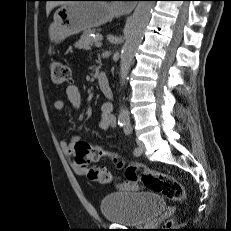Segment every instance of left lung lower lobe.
Wrapping results in <instances>:
<instances>
[{
  "mask_svg": "<svg viewBox=\"0 0 231 231\" xmlns=\"http://www.w3.org/2000/svg\"><path fill=\"white\" fill-rule=\"evenodd\" d=\"M103 1H112V0H103Z\"/></svg>",
  "mask_w": 231,
  "mask_h": 231,
  "instance_id": "1",
  "label": "left lung lower lobe"
}]
</instances>
